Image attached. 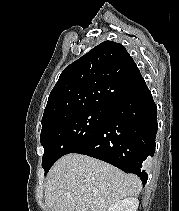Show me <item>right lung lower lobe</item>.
Segmentation results:
<instances>
[{
  "label": "right lung lower lobe",
  "instance_id": "obj_1",
  "mask_svg": "<svg viewBox=\"0 0 179 211\" xmlns=\"http://www.w3.org/2000/svg\"><path fill=\"white\" fill-rule=\"evenodd\" d=\"M157 127V107L143 81L111 107L96 135L72 153L88 155L136 174L145 186L146 165L155 152Z\"/></svg>",
  "mask_w": 179,
  "mask_h": 211
}]
</instances>
